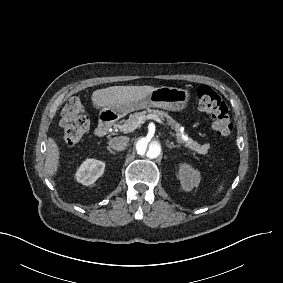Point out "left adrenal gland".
I'll return each mask as SVG.
<instances>
[{
	"label": "left adrenal gland",
	"instance_id": "left-adrenal-gland-1",
	"mask_svg": "<svg viewBox=\"0 0 283 283\" xmlns=\"http://www.w3.org/2000/svg\"><path fill=\"white\" fill-rule=\"evenodd\" d=\"M166 145L169 149H173V148H177V147H181V145H175L173 142L170 143L169 140L166 141Z\"/></svg>",
	"mask_w": 283,
	"mask_h": 283
}]
</instances>
